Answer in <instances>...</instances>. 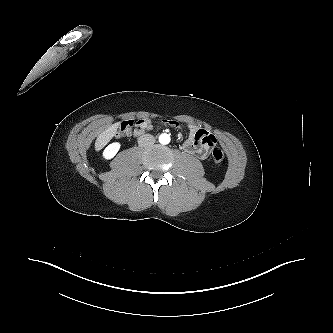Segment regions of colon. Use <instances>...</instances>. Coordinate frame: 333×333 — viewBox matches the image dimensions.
I'll return each instance as SVG.
<instances>
[{"instance_id":"colon-1","label":"colon","mask_w":333,"mask_h":333,"mask_svg":"<svg viewBox=\"0 0 333 333\" xmlns=\"http://www.w3.org/2000/svg\"><path fill=\"white\" fill-rule=\"evenodd\" d=\"M134 122L132 120L124 121L120 124L117 130L118 137H128L132 134ZM212 162L216 165L221 164L224 159V154L221 148L213 146L211 151Z\"/></svg>"}]
</instances>
